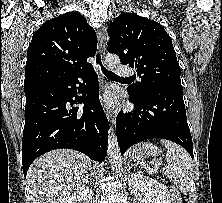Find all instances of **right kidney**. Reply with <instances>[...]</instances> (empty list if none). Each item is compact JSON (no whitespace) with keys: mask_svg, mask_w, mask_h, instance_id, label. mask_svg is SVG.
<instances>
[{"mask_svg":"<svg viewBox=\"0 0 222 203\" xmlns=\"http://www.w3.org/2000/svg\"><path fill=\"white\" fill-rule=\"evenodd\" d=\"M93 193L88 187H82L63 199L62 203H92Z\"/></svg>","mask_w":222,"mask_h":203,"instance_id":"right-kidney-1","label":"right kidney"}]
</instances>
